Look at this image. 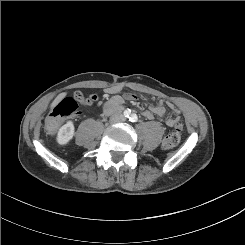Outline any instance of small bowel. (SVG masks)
Returning a JSON list of instances; mask_svg holds the SVG:
<instances>
[{
    "instance_id": "1",
    "label": "small bowel",
    "mask_w": 245,
    "mask_h": 245,
    "mask_svg": "<svg viewBox=\"0 0 245 245\" xmlns=\"http://www.w3.org/2000/svg\"><path fill=\"white\" fill-rule=\"evenodd\" d=\"M120 91V87H110L106 90V92L110 95V99L104 105V114L108 115L114 111H117L123 107L124 99L116 95L117 92ZM124 98L128 101H135L137 99L136 95L132 93L125 94ZM169 109H171L177 116H179L180 111L175 107V105L171 102L167 103ZM165 114V107L161 100L153 103L148 110L143 111V116L147 119H153L154 116H163ZM166 124L169 127L176 126L179 123V117L176 119L172 117H167L165 120Z\"/></svg>"
}]
</instances>
